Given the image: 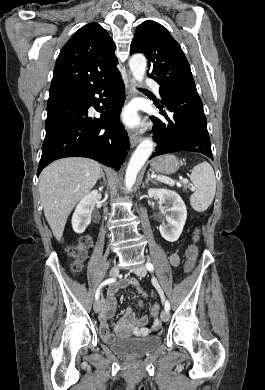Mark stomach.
<instances>
[{
    "label": "stomach",
    "instance_id": "0dacf381",
    "mask_svg": "<svg viewBox=\"0 0 265 390\" xmlns=\"http://www.w3.org/2000/svg\"><path fill=\"white\" fill-rule=\"evenodd\" d=\"M180 164V160L176 156L166 154L155 158L151 162V169L154 172L169 175L175 173L179 169Z\"/></svg>",
    "mask_w": 265,
    "mask_h": 390
}]
</instances>
